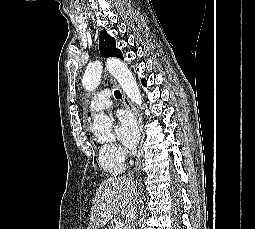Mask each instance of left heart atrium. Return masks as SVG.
Segmentation results:
<instances>
[{
	"mask_svg": "<svg viewBox=\"0 0 255 229\" xmlns=\"http://www.w3.org/2000/svg\"><path fill=\"white\" fill-rule=\"evenodd\" d=\"M115 130L118 139L126 148L133 149L136 146L139 139V131L132 117L125 113H119Z\"/></svg>",
	"mask_w": 255,
	"mask_h": 229,
	"instance_id": "obj_1",
	"label": "left heart atrium"
}]
</instances>
